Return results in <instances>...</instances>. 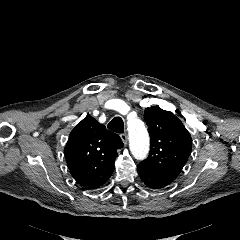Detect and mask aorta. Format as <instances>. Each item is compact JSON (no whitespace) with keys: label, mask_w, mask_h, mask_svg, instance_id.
<instances>
[{"label":"aorta","mask_w":240,"mask_h":240,"mask_svg":"<svg viewBox=\"0 0 240 240\" xmlns=\"http://www.w3.org/2000/svg\"><path fill=\"white\" fill-rule=\"evenodd\" d=\"M130 150L139 160L146 158L149 152V136L144 123L137 118L128 120Z\"/></svg>","instance_id":"aorta-1"}]
</instances>
